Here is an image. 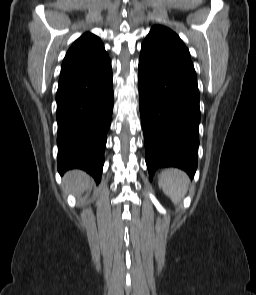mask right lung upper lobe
<instances>
[{
	"instance_id": "obj_1",
	"label": "right lung upper lobe",
	"mask_w": 256,
	"mask_h": 295,
	"mask_svg": "<svg viewBox=\"0 0 256 295\" xmlns=\"http://www.w3.org/2000/svg\"><path fill=\"white\" fill-rule=\"evenodd\" d=\"M108 59V54L101 40L94 34L85 33L73 43L66 53L60 75L83 69Z\"/></svg>"
}]
</instances>
